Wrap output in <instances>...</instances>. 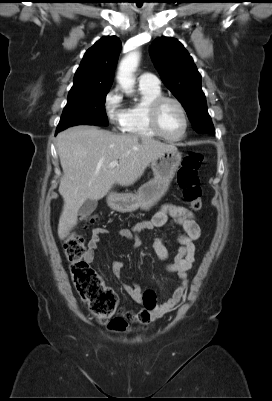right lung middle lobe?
I'll use <instances>...</instances> for the list:
<instances>
[{"mask_svg":"<svg viewBox=\"0 0 272 401\" xmlns=\"http://www.w3.org/2000/svg\"><path fill=\"white\" fill-rule=\"evenodd\" d=\"M109 90L110 88H100L68 95V102L63 110L56 133L80 124L107 126L105 100Z\"/></svg>","mask_w":272,"mask_h":401,"instance_id":"right-lung-middle-lobe-1","label":"right lung middle lobe"}]
</instances>
